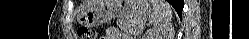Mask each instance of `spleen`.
<instances>
[{"label": "spleen", "mask_w": 249, "mask_h": 39, "mask_svg": "<svg viewBox=\"0 0 249 39\" xmlns=\"http://www.w3.org/2000/svg\"><path fill=\"white\" fill-rule=\"evenodd\" d=\"M153 6V13L150 22L156 27H162L172 18V6L165 0H150Z\"/></svg>", "instance_id": "spleen-1"}]
</instances>
